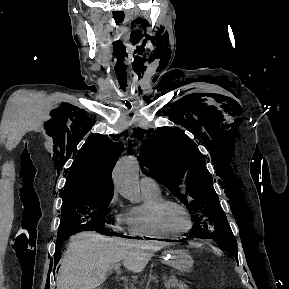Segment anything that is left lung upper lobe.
Masks as SVG:
<instances>
[{"instance_id": "left-lung-upper-lobe-1", "label": "left lung upper lobe", "mask_w": 289, "mask_h": 289, "mask_svg": "<svg viewBox=\"0 0 289 289\" xmlns=\"http://www.w3.org/2000/svg\"><path fill=\"white\" fill-rule=\"evenodd\" d=\"M144 145L140 156L149 167L150 176L180 199L194 218L192 236H210L238 262L236 239L196 144L181 131L165 129L153 133Z\"/></svg>"}]
</instances>
